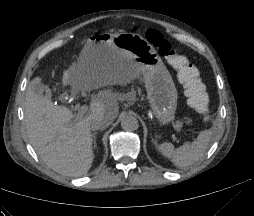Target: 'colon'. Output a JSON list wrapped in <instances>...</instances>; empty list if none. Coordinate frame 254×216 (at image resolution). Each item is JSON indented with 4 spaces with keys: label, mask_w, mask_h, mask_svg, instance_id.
Listing matches in <instances>:
<instances>
[{
    "label": "colon",
    "mask_w": 254,
    "mask_h": 216,
    "mask_svg": "<svg viewBox=\"0 0 254 216\" xmlns=\"http://www.w3.org/2000/svg\"><path fill=\"white\" fill-rule=\"evenodd\" d=\"M147 41L158 48L159 52L168 60L172 68L177 71L178 79L185 88L188 103L202 117L204 121L210 119L208 112L209 98L198 77L197 70L191 66L185 56L177 51L172 44L156 29L145 31Z\"/></svg>",
    "instance_id": "5ec220e1"
}]
</instances>
